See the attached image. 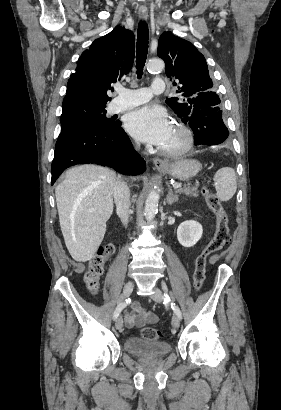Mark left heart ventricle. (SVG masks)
Returning <instances> with one entry per match:
<instances>
[{
	"label": "left heart ventricle",
	"mask_w": 281,
	"mask_h": 410,
	"mask_svg": "<svg viewBox=\"0 0 281 410\" xmlns=\"http://www.w3.org/2000/svg\"><path fill=\"white\" fill-rule=\"evenodd\" d=\"M183 141L182 135L172 127V131L167 139V141L161 146L164 149H175L181 145Z\"/></svg>",
	"instance_id": "b2bd125f"
}]
</instances>
